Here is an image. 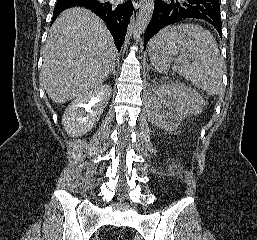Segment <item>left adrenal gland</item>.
<instances>
[{
  "instance_id": "obj_1",
  "label": "left adrenal gland",
  "mask_w": 257,
  "mask_h": 240,
  "mask_svg": "<svg viewBox=\"0 0 257 240\" xmlns=\"http://www.w3.org/2000/svg\"><path fill=\"white\" fill-rule=\"evenodd\" d=\"M147 68H148V69H151V67H150V66H148Z\"/></svg>"
}]
</instances>
